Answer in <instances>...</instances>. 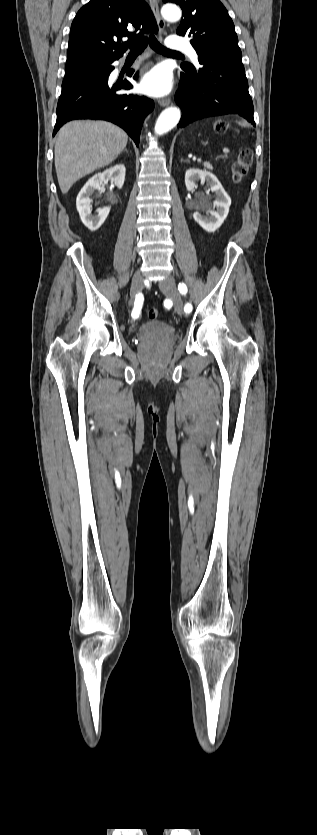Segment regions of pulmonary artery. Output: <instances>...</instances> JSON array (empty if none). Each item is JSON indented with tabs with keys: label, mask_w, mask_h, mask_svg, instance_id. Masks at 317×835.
Listing matches in <instances>:
<instances>
[{
	"label": "pulmonary artery",
	"mask_w": 317,
	"mask_h": 835,
	"mask_svg": "<svg viewBox=\"0 0 317 835\" xmlns=\"http://www.w3.org/2000/svg\"><path fill=\"white\" fill-rule=\"evenodd\" d=\"M167 46L172 51L187 53L194 62H198V54L187 40L178 36H170L167 39Z\"/></svg>",
	"instance_id": "1"
}]
</instances>
